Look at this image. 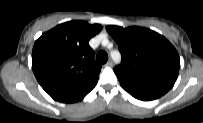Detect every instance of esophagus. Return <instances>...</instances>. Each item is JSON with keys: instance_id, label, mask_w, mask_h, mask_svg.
I'll list each match as a JSON object with an SVG mask.
<instances>
[{"instance_id": "esophagus-1", "label": "esophagus", "mask_w": 203, "mask_h": 123, "mask_svg": "<svg viewBox=\"0 0 203 123\" xmlns=\"http://www.w3.org/2000/svg\"><path fill=\"white\" fill-rule=\"evenodd\" d=\"M105 65L107 67H112L113 66V62L109 60Z\"/></svg>"}]
</instances>
